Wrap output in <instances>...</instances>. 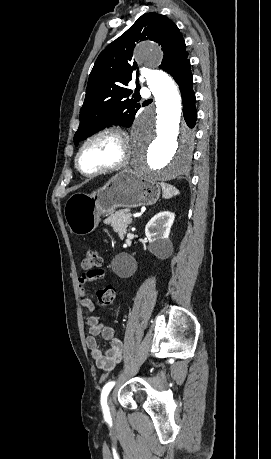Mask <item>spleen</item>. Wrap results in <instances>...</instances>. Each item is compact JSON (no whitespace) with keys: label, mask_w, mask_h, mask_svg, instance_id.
I'll return each mask as SVG.
<instances>
[{"label":"spleen","mask_w":271,"mask_h":459,"mask_svg":"<svg viewBox=\"0 0 271 459\" xmlns=\"http://www.w3.org/2000/svg\"><path fill=\"white\" fill-rule=\"evenodd\" d=\"M162 188V196L163 198H166V200H169V198H173V196H176V188H173V186H170V184H165V182H161L160 184Z\"/></svg>","instance_id":"obj_1"}]
</instances>
